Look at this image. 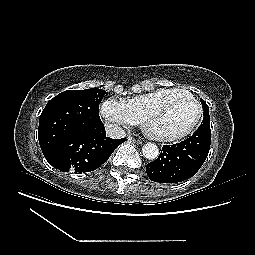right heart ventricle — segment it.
Listing matches in <instances>:
<instances>
[{"mask_svg": "<svg viewBox=\"0 0 255 255\" xmlns=\"http://www.w3.org/2000/svg\"><path fill=\"white\" fill-rule=\"evenodd\" d=\"M183 89L175 87L158 88L125 100L132 112L142 121L146 112L166 96Z\"/></svg>", "mask_w": 255, "mask_h": 255, "instance_id": "1", "label": "right heart ventricle"}]
</instances>
